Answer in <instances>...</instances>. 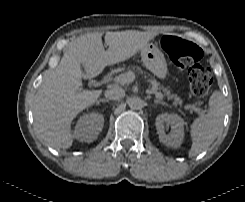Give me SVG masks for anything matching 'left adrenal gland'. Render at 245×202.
I'll use <instances>...</instances> for the list:
<instances>
[{
	"mask_svg": "<svg viewBox=\"0 0 245 202\" xmlns=\"http://www.w3.org/2000/svg\"><path fill=\"white\" fill-rule=\"evenodd\" d=\"M154 103H155V104L167 105L165 102H163V101H161V100H157V99L154 100Z\"/></svg>",
	"mask_w": 245,
	"mask_h": 202,
	"instance_id": "obj_1",
	"label": "left adrenal gland"
}]
</instances>
